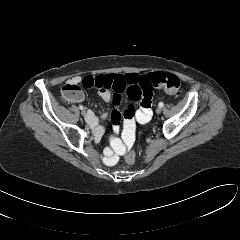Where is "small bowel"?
I'll use <instances>...</instances> for the list:
<instances>
[{
	"label": "small bowel",
	"mask_w": 240,
	"mask_h": 240,
	"mask_svg": "<svg viewBox=\"0 0 240 240\" xmlns=\"http://www.w3.org/2000/svg\"><path fill=\"white\" fill-rule=\"evenodd\" d=\"M68 83L79 84L82 83L85 87H96L99 96L105 102H112L118 106L122 99V94L126 93L129 96V90L135 88L138 93L137 101L140 103L139 109L135 112L132 120L124 121L125 132H133L135 121L145 124L150 121L152 117V85L150 84L147 75H139L137 73L127 74H104L96 76H73L68 80ZM83 100V95L79 98L70 100L73 103H78ZM106 115H102L99 119L93 112H88L87 122L93 128L96 138H100L104 133V127L101 125V120H104ZM111 120L113 123V130L117 134L120 129L121 114L117 109L111 113ZM116 152L123 154L125 152L124 146L119 143L115 144Z\"/></svg>",
	"instance_id": "obj_1"
}]
</instances>
